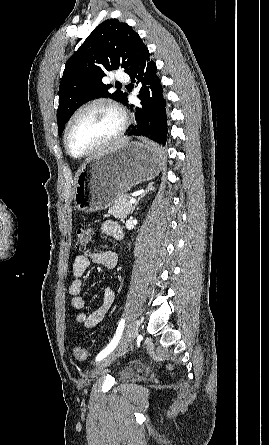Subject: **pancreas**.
<instances>
[{"label":"pancreas","mask_w":269,"mask_h":445,"mask_svg":"<svg viewBox=\"0 0 269 445\" xmlns=\"http://www.w3.org/2000/svg\"><path fill=\"white\" fill-rule=\"evenodd\" d=\"M132 212V205L128 201L127 195L118 197L114 204L109 208L108 213L115 218L125 219Z\"/></svg>","instance_id":"1"}]
</instances>
